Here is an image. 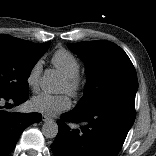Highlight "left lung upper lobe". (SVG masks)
Returning a JSON list of instances; mask_svg holds the SVG:
<instances>
[{
	"mask_svg": "<svg viewBox=\"0 0 156 156\" xmlns=\"http://www.w3.org/2000/svg\"><path fill=\"white\" fill-rule=\"evenodd\" d=\"M68 47L86 63L87 83L74 111H89L107 105L135 110L137 74L119 46L108 41H84L70 43Z\"/></svg>",
	"mask_w": 156,
	"mask_h": 156,
	"instance_id": "5c2ea615",
	"label": "left lung upper lobe"
}]
</instances>
